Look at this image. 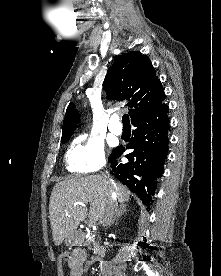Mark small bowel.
Here are the masks:
<instances>
[{
    "mask_svg": "<svg viewBox=\"0 0 221 276\" xmlns=\"http://www.w3.org/2000/svg\"><path fill=\"white\" fill-rule=\"evenodd\" d=\"M94 260H88L84 250L75 249L71 254L70 261L68 262L70 276H84L87 268Z\"/></svg>",
    "mask_w": 221,
    "mask_h": 276,
    "instance_id": "obj_1",
    "label": "small bowel"
}]
</instances>
